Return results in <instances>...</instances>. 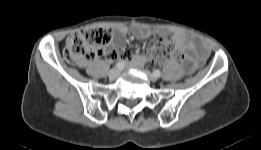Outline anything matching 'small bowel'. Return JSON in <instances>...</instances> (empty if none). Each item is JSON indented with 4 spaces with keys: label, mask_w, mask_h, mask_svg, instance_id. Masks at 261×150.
<instances>
[{
    "label": "small bowel",
    "mask_w": 261,
    "mask_h": 150,
    "mask_svg": "<svg viewBox=\"0 0 261 150\" xmlns=\"http://www.w3.org/2000/svg\"><path fill=\"white\" fill-rule=\"evenodd\" d=\"M127 33L128 28L126 27H119L116 30L106 57L110 61H116L121 57L122 59L129 61L133 66L140 67L146 61V58L143 55H132L127 52L121 53L119 51V48L122 46L124 37ZM132 33L136 39H147L154 34L152 29L145 27H134L132 29ZM172 40L180 49L192 53V55L188 56L184 62V69L187 72L194 71L203 63L208 55L207 48L203 44L187 39L183 35H176L172 38Z\"/></svg>",
    "instance_id": "small-bowel-1"
}]
</instances>
